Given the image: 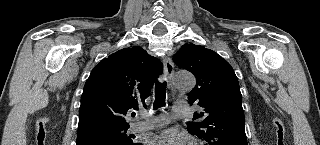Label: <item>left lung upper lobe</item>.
Here are the masks:
<instances>
[{"mask_svg":"<svg viewBox=\"0 0 320 145\" xmlns=\"http://www.w3.org/2000/svg\"><path fill=\"white\" fill-rule=\"evenodd\" d=\"M196 77L189 104L202 107L189 122V133L209 145H247L244 111L238 79L231 65L216 52L193 43L184 44L173 57Z\"/></svg>","mask_w":320,"mask_h":145,"instance_id":"1","label":"left lung upper lobe"}]
</instances>
